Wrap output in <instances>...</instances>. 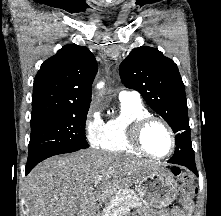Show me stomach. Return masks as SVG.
Returning <instances> with one entry per match:
<instances>
[{
	"mask_svg": "<svg viewBox=\"0 0 221 216\" xmlns=\"http://www.w3.org/2000/svg\"><path fill=\"white\" fill-rule=\"evenodd\" d=\"M177 191V182L171 172L165 168L151 172L137 182L139 206L146 209H161L169 206L176 199ZM133 214L138 212L135 211Z\"/></svg>",
	"mask_w": 221,
	"mask_h": 216,
	"instance_id": "0dacf381",
	"label": "stomach"
}]
</instances>
